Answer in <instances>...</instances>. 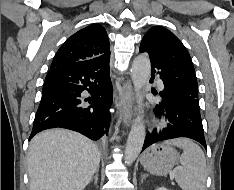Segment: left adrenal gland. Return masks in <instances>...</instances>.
<instances>
[{
	"label": "left adrenal gland",
	"instance_id": "a2214340",
	"mask_svg": "<svg viewBox=\"0 0 234 190\" xmlns=\"http://www.w3.org/2000/svg\"><path fill=\"white\" fill-rule=\"evenodd\" d=\"M146 177H148V175H147V174H143V175H142L141 182H143V181L146 179Z\"/></svg>",
	"mask_w": 234,
	"mask_h": 190
}]
</instances>
